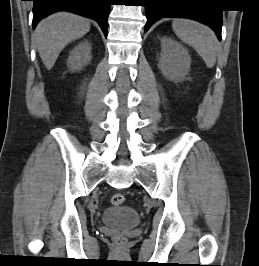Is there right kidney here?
Here are the masks:
<instances>
[{"label":"right kidney","instance_id":"1","mask_svg":"<svg viewBox=\"0 0 259 266\" xmlns=\"http://www.w3.org/2000/svg\"><path fill=\"white\" fill-rule=\"evenodd\" d=\"M91 44L86 40L78 44L68 58V66L72 71L80 70L91 60Z\"/></svg>","mask_w":259,"mask_h":266}]
</instances>
